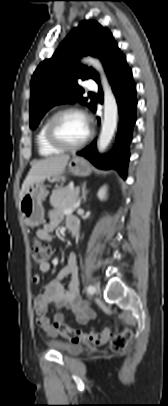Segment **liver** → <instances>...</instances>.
Here are the masks:
<instances>
[{
    "mask_svg": "<svg viewBox=\"0 0 168 406\" xmlns=\"http://www.w3.org/2000/svg\"><path fill=\"white\" fill-rule=\"evenodd\" d=\"M69 159V155H59L36 161L22 184L19 194L20 200L26 190L33 184L43 182L45 179L58 178L63 174Z\"/></svg>",
    "mask_w": 168,
    "mask_h": 406,
    "instance_id": "obj_1",
    "label": "liver"
}]
</instances>
